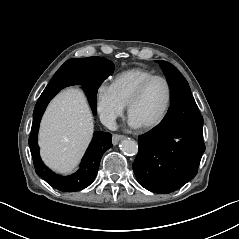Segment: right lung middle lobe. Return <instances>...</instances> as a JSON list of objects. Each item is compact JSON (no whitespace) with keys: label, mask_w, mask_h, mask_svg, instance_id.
Instances as JSON below:
<instances>
[{"label":"right lung middle lobe","mask_w":239,"mask_h":239,"mask_svg":"<svg viewBox=\"0 0 239 239\" xmlns=\"http://www.w3.org/2000/svg\"><path fill=\"white\" fill-rule=\"evenodd\" d=\"M101 61L106 62V63H110L112 64L111 61L105 59V58H100L98 57ZM59 72L57 71L56 74L54 75V77L52 78V80L49 82V84L47 85V87L45 88V90L43 91V93H48L52 90H54L56 88L57 85H59L60 80H59Z\"/></svg>","instance_id":"1"}]
</instances>
